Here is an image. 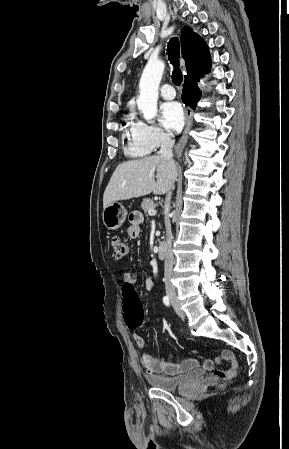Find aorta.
Masks as SVG:
<instances>
[{"mask_svg":"<svg viewBox=\"0 0 289 449\" xmlns=\"http://www.w3.org/2000/svg\"><path fill=\"white\" fill-rule=\"evenodd\" d=\"M165 64L159 59L150 58L143 70L139 82L138 109L143 113L146 121L151 122L157 115V100L159 84Z\"/></svg>","mask_w":289,"mask_h":449,"instance_id":"aorta-1","label":"aorta"}]
</instances>
